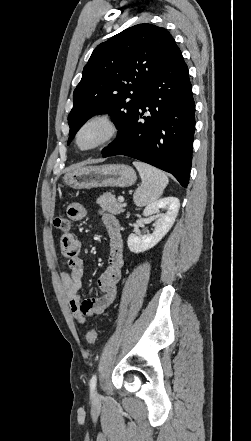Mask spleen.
I'll list each match as a JSON object with an SVG mask.
<instances>
[{"label":"spleen","mask_w":251,"mask_h":441,"mask_svg":"<svg viewBox=\"0 0 251 441\" xmlns=\"http://www.w3.org/2000/svg\"><path fill=\"white\" fill-rule=\"evenodd\" d=\"M133 165L142 180L141 185L134 193V203L138 207L149 205L162 196L169 179L163 171L146 163L134 161Z\"/></svg>","instance_id":"obj_1"}]
</instances>
